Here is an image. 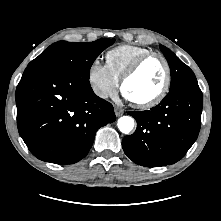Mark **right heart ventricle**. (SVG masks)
<instances>
[{"instance_id": "e07e8e85", "label": "right heart ventricle", "mask_w": 221, "mask_h": 221, "mask_svg": "<svg viewBox=\"0 0 221 221\" xmlns=\"http://www.w3.org/2000/svg\"><path fill=\"white\" fill-rule=\"evenodd\" d=\"M151 52L150 49L135 45L121 44L105 54V65L114 79L119 81L126 70L142 55Z\"/></svg>"}]
</instances>
